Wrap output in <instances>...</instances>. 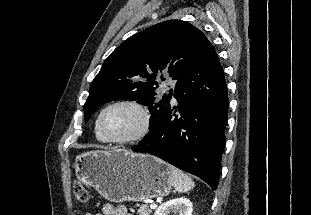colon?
<instances>
[{"label": "colon", "mask_w": 311, "mask_h": 215, "mask_svg": "<svg viewBox=\"0 0 311 215\" xmlns=\"http://www.w3.org/2000/svg\"><path fill=\"white\" fill-rule=\"evenodd\" d=\"M74 197L78 203H85L88 200V192L83 185L74 186Z\"/></svg>", "instance_id": "colon-1"}]
</instances>
